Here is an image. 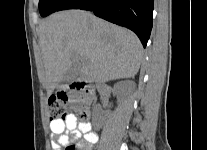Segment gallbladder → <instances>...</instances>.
Returning <instances> with one entry per match:
<instances>
[{
  "label": "gallbladder",
  "mask_w": 207,
  "mask_h": 150,
  "mask_svg": "<svg viewBox=\"0 0 207 150\" xmlns=\"http://www.w3.org/2000/svg\"><path fill=\"white\" fill-rule=\"evenodd\" d=\"M75 70L71 69L70 71H68L64 77L62 78L58 88H62L63 85L69 83L70 81H72L75 78Z\"/></svg>",
  "instance_id": "obj_1"
}]
</instances>
